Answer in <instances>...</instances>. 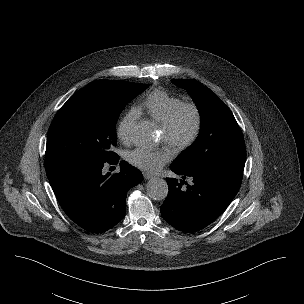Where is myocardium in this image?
I'll list each match as a JSON object with an SVG mask.
<instances>
[{
	"label": "myocardium",
	"instance_id": "myocardium-1",
	"mask_svg": "<svg viewBox=\"0 0 304 304\" xmlns=\"http://www.w3.org/2000/svg\"><path fill=\"white\" fill-rule=\"evenodd\" d=\"M190 113L193 119V126L190 133L183 139L176 137V130L180 119L185 113ZM203 126V116L201 109L194 102H182L169 115L167 120L161 125L164 136V143L177 152L190 148L199 138Z\"/></svg>",
	"mask_w": 304,
	"mask_h": 304
}]
</instances>
